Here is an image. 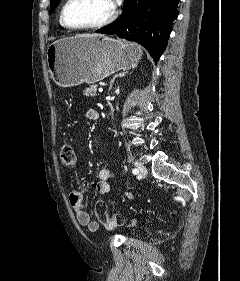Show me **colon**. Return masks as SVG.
Segmentation results:
<instances>
[{
    "label": "colon",
    "mask_w": 240,
    "mask_h": 281,
    "mask_svg": "<svg viewBox=\"0 0 240 281\" xmlns=\"http://www.w3.org/2000/svg\"><path fill=\"white\" fill-rule=\"evenodd\" d=\"M61 164L66 168H75L77 165V154L71 143H64L60 150ZM98 220L108 228H115L122 224L123 218L118 214L110 215L103 202H97L94 207Z\"/></svg>",
    "instance_id": "5ec220e1"
}]
</instances>
